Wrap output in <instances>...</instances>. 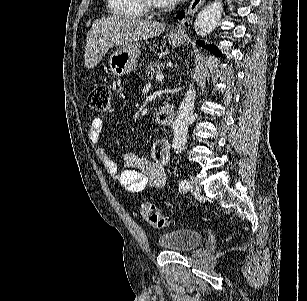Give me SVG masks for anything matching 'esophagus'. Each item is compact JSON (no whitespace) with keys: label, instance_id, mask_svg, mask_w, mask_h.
I'll list each match as a JSON object with an SVG mask.
<instances>
[{"label":"esophagus","instance_id":"esophagus-1","mask_svg":"<svg viewBox=\"0 0 307 301\" xmlns=\"http://www.w3.org/2000/svg\"><path fill=\"white\" fill-rule=\"evenodd\" d=\"M204 2L205 0H191L190 5L188 7V15H194ZM184 33L185 28L180 23H178L177 26L172 28L171 30V35L177 39H181Z\"/></svg>","mask_w":307,"mask_h":301}]
</instances>
